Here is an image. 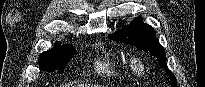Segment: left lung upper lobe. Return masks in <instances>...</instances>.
Returning a JSON list of instances; mask_svg holds the SVG:
<instances>
[{
	"mask_svg": "<svg viewBox=\"0 0 205 87\" xmlns=\"http://www.w3.org/2000/svg\"><path fill=\"white\" fill-rule=\"evenodd\" d=\"M109 38L114 41L128 43L141 50L149 51L151 54L157 57L159 66L164 68L167 72L171 81V86H177L176 78L168 70L167 64L165 62V50L162 48L158 39L156 38L154 29L151 26L144 24L141 17L135 18L130 25L124 26L122 29L117 30L115 33L109 35Z\"/></svg>",
	"mask_w": 205,
	"mask_h": 87,
	"instance_id": "obj_1",
	"label": "left lung upper lobe"
}]
</instances>
